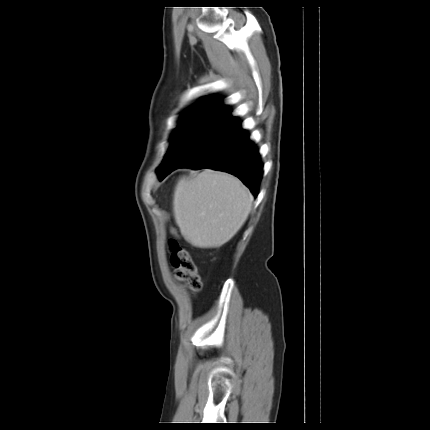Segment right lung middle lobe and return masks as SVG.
I'll return each mask as SVG.
<instances>
[{"mask_svg": "<svg viewBox=\"0 0 430 430\" xmlns=\"http://www.w3.org/2000/svg\"><path fill=\"white\" fill-rule=\"evenodd\" d=\"M239 124L227 107L188 109L170 140L169 150L157 169L160 179L222 138Z\"/></svg>", "mask_w": 430, "mask_h": 430, "instance_id": "1", "label": "right lung middle lobe"}]
</instances>
